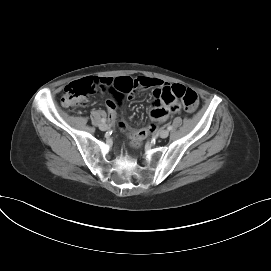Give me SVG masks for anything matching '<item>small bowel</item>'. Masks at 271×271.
<instances>
[{
    "label": "small bowel",
    "mask_w": 271,
    "mask_h": 271,
    "mask_svg": "<svg viewBox=\"0 0 271 271\" xmlns=\"http://www.w3.org/2000/svg\"><path fill=\"white\" fill-rule=\"evenodd\" d=\"M97 79V92L106 97L109 115L117 120L119 128L127 133L134 141L139 140V132L132 130L122 119H118L117 107L121 105L133 89L154 88L155 102L149 109V116L154 122H161L170 117V115L180 110L179 104L175 101L167 104L161 97L163 89L171 85L157 78L147 76H121L118 79L111 77L92 78Z\"/></svg>",
    "instance_id": "c3829d8e"
}]
</instances>
